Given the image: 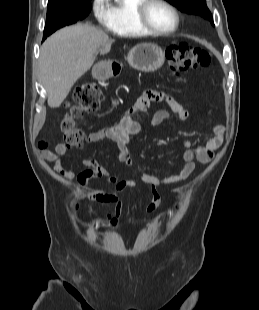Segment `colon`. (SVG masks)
I'll use <instances>...</instances> for the list:
<instances>
[{
  "label": "colon",
  "instance_id": "1",
  "mask_svg": "<svg viewBox=\"0 0 259 310\" xmlns=\"http://www.w3.org/2000/svg\"><path fill=\"white\" fill-rule=\"evenodd\" d=\"M166 57L169 70L176 76L190 69L208 66L211 62L210 55L204 49L188 43L168 47ZM100 101L101 91L94 83L84 84L75 89L59 124L67 146L79 147L84 144L85 135L76 128L75 119L96 112Z\"/></svg>",
  "mask_w": 259,
  "mask_h": 310
}]
</instances>
